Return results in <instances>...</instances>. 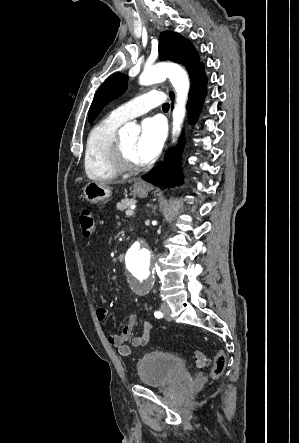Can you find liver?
<instances>
[{
	"label": "liver",
	"mask_w": 299,
	"mask_h": 443,
	"mask_svg": "<svg viewBox=\"0 0 299 443\" xmlns=\"http://www.w3.org/2000/svg\"><path fill=\"white\" fill-rule=\"evenodd\" d=\"M97 184H100V185H107V184H109V183H111V182H106V181H99V182H96ZM114 184H117V183H121L120 181H118V182H113Z\"/></svg>",
	"instance_id": "obj_1"
}]
</instances>
